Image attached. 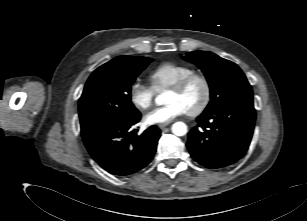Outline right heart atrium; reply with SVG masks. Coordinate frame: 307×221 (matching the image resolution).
I'll list each match as a JSON object with an SVG mask.
<instances>
[{
	"label": "right heart atrium",
	"mask_w": 307,
	"mask_h": 221,
	"mask_svg": "<svg viewBox=\"0 0 307 221\" xmlns=\"http://www.w3.org/2000/svg\"><path fill=\"white\" fill-rule=\"evenodd\" d=\"M154 89L151 86L135 81L129 88V99L139 110L148 109L154 100Z\"/></svg>",
	"instance_id": "obj_1"
}]
</instances>
